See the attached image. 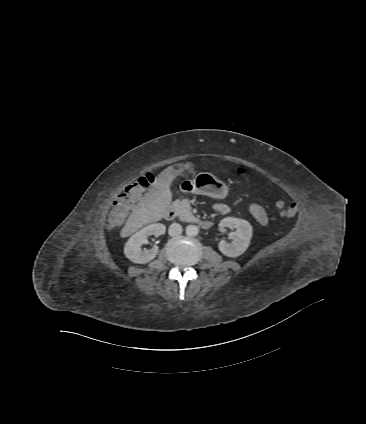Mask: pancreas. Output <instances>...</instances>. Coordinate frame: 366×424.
<instances>
[{
	"mask_svg": "<svg viewBox=\"0 0 366 424\" xmlns=\"http://www.w3.org/2000/svg\"><path fill=\"white\" fill-rule=\"evenodd\" d=\"M176 210L181 221L193 222L196 220L191 212V206L188 199L176 200Z\"/></svg>",
	"mask_w": 366,
	"mask_h": 424,
	"instance_id": "1",
	"label": "pancreas"
}]
</instances>
